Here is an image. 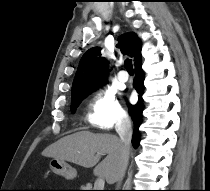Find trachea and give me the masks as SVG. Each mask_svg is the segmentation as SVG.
Listing matches in <instances>:
<instances>
[{
  "label": "trachea",
  "instance_id": "trachea-1",
  "mask_svg": "<svg viewBox=\"0 0 210 191\" xmlns=\"http://www.w3.org/2000/svg\"><path fill=\"white\" fill-rule=\"evenodd\" d=\"M125 68L128 72H134L133 65H132V60L131 59H126L125 60Z\"/></svg>",
  "mask_w": 210,
  "mask_h": 191
}]
</instances>
